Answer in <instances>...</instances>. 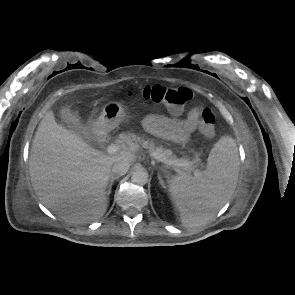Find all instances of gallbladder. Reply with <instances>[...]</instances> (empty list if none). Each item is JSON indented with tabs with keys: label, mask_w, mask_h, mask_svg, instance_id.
<instances>
[{
	"label": "gallbladder",
	"mask_w": 295,
	"mask_h": 295,
	"mask_svg": "<svg viewBox=\"0 0 295 295\" xmlns=\"http://www.w3.org/2000/svg\"><path fill=\"white\" fill-rule=\"evenodd\" d=\"M60 116L63 122L75 133H78V131H80L78 127L79 116L77 113H73L69 108L63 107L60 109Z\"/></svg>",
	"instance_id": "gallbladder-1"
}]
</instances>
